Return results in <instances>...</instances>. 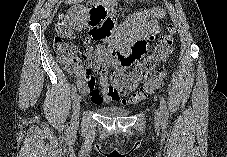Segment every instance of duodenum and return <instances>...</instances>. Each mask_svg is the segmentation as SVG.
I'll list each match as a JSON object with an SVG mask.
<instances>
[{"instance_id":"obj_1","label":"duodenum","mask_w":227,"mask_h":157,"mask_svg":"<svg viewBox=\"0 0 227 157\" xmlns=\"http://www.w3.org/2000/svg\"><path fill=\"white\" fill-rule=\"evenodd\" d=\"M88 9H92L93 16L86 20V25H91L92 32H109V30H117L114 25V18L107 14L104 5L101 2L94 1L87 5Z\"/></svg>"}]
</instances>
